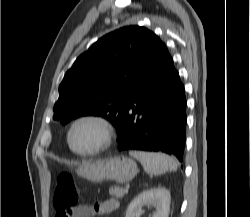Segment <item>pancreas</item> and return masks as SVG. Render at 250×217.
<instances>
[{"label":"pancreas","mask_w":250,"mask_h":217,"mask_svg":"<svg viewBox=\"0 0 250 217\" xmlns=\"http://www.w3.org/2000/svg\"><path fill=\"white\" fill-rule=\"evenodd\" d=\"M109 194L116 198H122L125 194L124 188L118 186H112L109 188Z\"/></svg>","instance_id":"cf45deb5"}]
</instances>
